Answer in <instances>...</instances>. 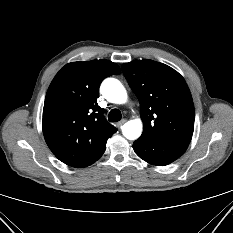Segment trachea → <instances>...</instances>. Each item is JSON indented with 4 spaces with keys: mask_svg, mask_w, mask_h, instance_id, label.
<instances>
[{
    "mask_svg": "<svg viewBox=\"0 0 233 233\" xmlns=\"http://www.w3.org/2000/svg\"><path fill=\"white\" fill-rule=\"evenodd\" d=\"M122 118V115H121V112L119 109H112L110 112H109V115H108V120L111 121V122H118L120 121Z\"/></svg>",
    "mask_w": 233,
    "mask_h": 233,
    "instance_id": "1",
    "label": "trachea"
}]
</instances>
